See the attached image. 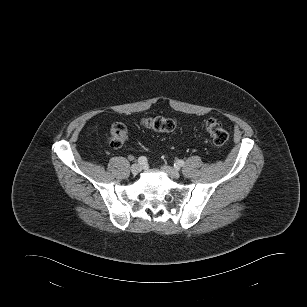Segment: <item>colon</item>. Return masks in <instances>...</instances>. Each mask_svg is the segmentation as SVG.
<instances>
[{
    "mask_svg": "<svg viewBox=\"0 0 307 307\" xmlns=\"http://www.w3.org/2000/svg\"><path fill=\"white\" fill-rule=\"evenodd\" d=\"M142 124L153 131L168 133L177 128V123L171 119L161 116L146 117L142 120ZM203 127L207 134L217 146H224L229 140L227 130L216 120L206 119ZM128 137V129L123 123H115L109 130L108 142L113 148H120Z\"/></svg>",
    "mask_w": 307,
    "mask_h": 307,
    "instance_id": "1",
    "label": "colon"
}]
</instances>
